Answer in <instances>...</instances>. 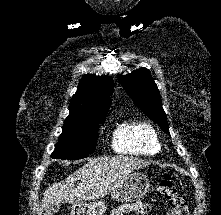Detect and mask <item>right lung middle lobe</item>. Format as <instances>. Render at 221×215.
Wrapping results in <instances>:
<instances>
[{"instance_id": "dd1d6c3e", "label": "right lung middle lobe", "mask_w": 221, "mask_h": 215, "mask_svg": "<svg viewBox=\"0 0 221 215\" xmlns=\"http://www.w3.org/2000/svg\"><path fill=\"white\" fill-rule=\"evenodd\" d=\"M105 117L90 119L79 116H68L65 119L62 134L52 153L53 158L76 160L87 157L96 148L99 123Z\"/></svg>"}]
</instances>
